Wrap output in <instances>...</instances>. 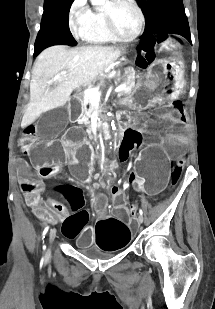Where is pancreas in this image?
<instances>
[{
  "mask_svg": "<svg viewBox=\"0 0 215 309\" xmlns=\"http://www.w3.org/2000/svg\"><path fill=\"white\" fill-rule=\"evenodd\" d=\"M130 74H132V78H127V80H123V84H128V86H131L133 88L134 82L136 78H138V74H136V70H130ZM104 80H99L97 86L95 88H100V86H103ZM124 94H128V92H124ZM126 102V98H119L117 104H124ZM85 106H88V108H83V114L86 116L84 118L85 122L84 124H90V120H87L91 114H93L94 110H97V112H101L99 104H95L93 98H88L87 104Z\"/></svg>",
  "mask_w": 215,
  "mask_h": 309,
  "instance_id": "pancreas-1",
  "label": "pancreas"
}]
</instances>
